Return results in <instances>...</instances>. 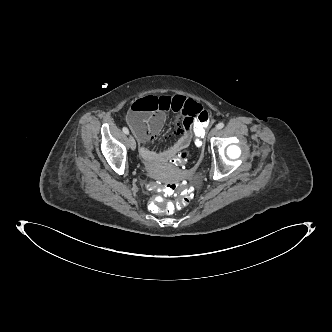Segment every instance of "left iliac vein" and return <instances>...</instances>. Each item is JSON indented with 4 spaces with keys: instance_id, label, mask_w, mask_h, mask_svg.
I'll return each instance as SVG.
<instances>
[{
    "instance_id": "4c4485c4",
    "label": "left iliac vein",
    "mask_w": 332,
    "mask_h": 332,
    "mask_svg": "<svg viewBox=\"0 0 332 332\" xmlns=\"http://www.w3.org/2000/svg\"><path fill=\"white\" fill-rule=\"evenodd\" d=\"M217 131H218L217 127L212 128L208 134V138L215 136L217 134Z\"/></svg>"
}]
</instances>
